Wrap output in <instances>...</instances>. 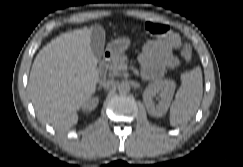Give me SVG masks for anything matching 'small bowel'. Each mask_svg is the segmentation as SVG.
<instances>
[{"label":"small bowel","instance_id":"c3829d8e","mask_svg":"<svg viewBox=\"0 0 243 167\" xmlns=\"http://www.w3.org/2000/svg\"><path fill=\"white\" fill-rule=\"evenodd\" d=\"M179 36L174 32H167L160 38L148 41L141 49L139 62L142 76L147 80L159 79L166 70L179 65L173 50L180 47Z\"/></svg>","mask_w":243,"mask_h":167}]
</instances>
